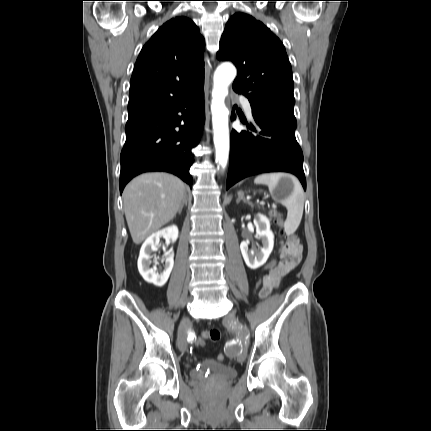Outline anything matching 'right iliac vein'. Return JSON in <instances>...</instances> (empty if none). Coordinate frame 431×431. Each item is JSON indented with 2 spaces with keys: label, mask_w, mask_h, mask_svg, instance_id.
<instances>
[{
  "label": "right iliac vein",
  "mask_w": 431,
  "mask_h": 431,
  "mask_svg": "<svg viewBox=\"0 0 431 431\" xmlns=\"http://www.w3.org/2000/svg\"><path fill=\"white\" fill-rule=\"evenodd\" d=\"M188 325H189V319L185 317L182 320L178 329L177 343H178V348L181 352H185L187 348L186 337H187Z\"/></svg>",
  "instance_id": "1"
}]
</instances>
